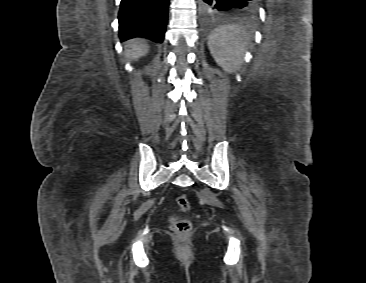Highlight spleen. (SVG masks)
Here are the masks:
<instances>
[{
  "mask_svg": "<svg viewBox=\"0 0 366 283\" xmlns=\"http://www.w3.org/2000/svg\"><path fill=\"white\" fill-rule=\"evenodd\" d=\"M249 37L239 25H224L208 37V47L217 62L227 73L239 69L247 48Z\"/></svg>",
  "mask_w": 366,
  "mask_h": 283,
  "instance_id": "1",
  "label": "spleen"
}]
</instances>
